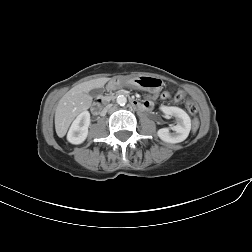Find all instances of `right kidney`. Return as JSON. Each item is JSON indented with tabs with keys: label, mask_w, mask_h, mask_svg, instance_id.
I'll return each instance as SVG.
<instances>
[{
	"label": "right kidney",
	"mask_w": 252,
	"mask_h": 252,
	"mask_svg": "<svg viewBox=\"0 0 252 252\" xmlns=\"http://www.w3.org/2000/svg\"><path fill=\"white\" fill-rule=\"evenodd\" d=\"M89 125L90 113L85 110L73 121L67 134V140L76 145L83 143L88 136Z\"/></svg>",
	"instance_id": "obj_1"
}]
</instances>
